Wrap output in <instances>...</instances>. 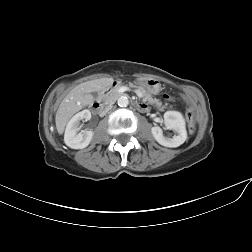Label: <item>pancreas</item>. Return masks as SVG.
Here are the masks:
<instances>
[{
	"mask_svg": "<svg viewBox=\"0 0 252 252\" xmlns=\"http://www.w3.org/2000/svg\"><path fill=\"white\" fill-rule=\"evenodd\" d=\"M128 87H134L136 89V92H138L141 97L143 98V100H145L146 102L152 103L155 105V107H157L160 111H163L167 105L162 106V103L158 100V99H153L152 96L147 93L143 88L139 87L138 83L135 82H128L127 83ZM118 92L117 90H114L112 95H117Z\"/></svg>",
	"mask_w": 252,
	"mask_h": 252,
	"instance_id": "pancreas-1",
	"label": "pancreas"
}]
</instances>
